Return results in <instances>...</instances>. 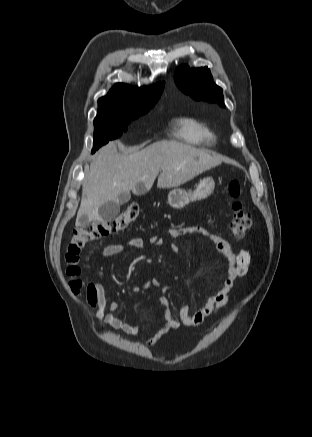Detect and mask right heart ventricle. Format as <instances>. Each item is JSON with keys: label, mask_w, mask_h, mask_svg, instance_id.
Masks as SVG:
<instances>
[{"label": "right heart ventricle", "mask_w": 312, "mask_h": 437, "mask_svg": "<svg viewBox=\"0 0 312 437\" xmlns=\"http://www.w3.org/2000/svg\"><path fill=\"white\" fill-rule=\"evenodd\" d=\"M176 134L191 143L212 142L215 135L211 127L195 117H183L177 120Z\"/></svg>", "instance_id": "e07e8e85"}]
</instances>
